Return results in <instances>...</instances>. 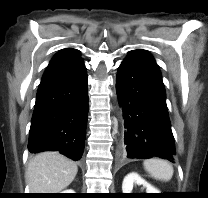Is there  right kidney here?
<instances>
[{"mask_svg": "<svg viewBox=\"0 0 208 198\" xmlns=\"http://www.w3.org/2000/svg\"><path fill=\"white\" fill-rule=\"evenodd\" d=\"M63 193H74V191L72 189H66Z\"/></svg>", "mask_w": 208, "mask_h": 198, "instance_id": "ca27d5eb", "label": "right kidney"}]
</instances>
